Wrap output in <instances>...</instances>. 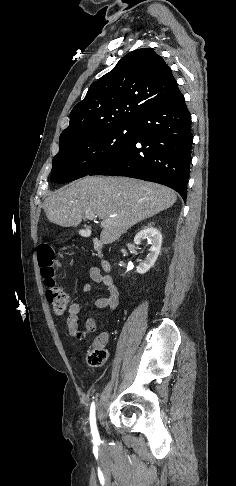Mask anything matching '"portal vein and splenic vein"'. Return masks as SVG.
I'll return each mask as SVG.
<instances>
[{"mask_svg": "<svg viewBox=\"0 0 236 486\" xmlns=\"http://www.w3.org/2000/svg\"><path fill=\"white\" fill-rule=\"evenodd\" d=\"M85 217H86L87 219L92 220V219H94V218L96 217V215H95L93 212H91V211H86V212H85ZM101 224L103 225V223H101Z\"/></svg>", "mask_w": 236, "mask_h": 486, "instance_id": "18ae733b", "label": "portal vein and splenic vein"}]
</instances>
